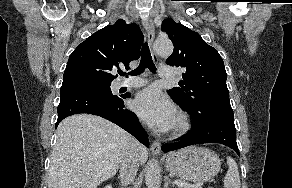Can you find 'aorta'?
Returning <instances> with one entry per match:
<instances>
[{"label": "aorta", "mask_w": 292, "mask_h": 188, "mask_svg": "<svg viewBox=\"0 0 292 188\" xmlns=\"http://www.w3.org/2000/svg\"><path fill=\"white\" fill-rule=\"evenodd\" d=\"M155 52L162 57H168L173 52V44L169 39H157L154 42ZM160 178V166L157 161L149 164L146 170L145 183L147 188H157Z\"/></svg>", "instance_id": "aorta-1"}]
</instances>
